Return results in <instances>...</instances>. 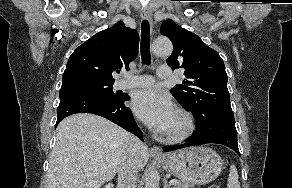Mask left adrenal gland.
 Returning <instances> with one entry per match:
<instances>
[{
	"instance_id": "1",
	"label": "left adrenal gland",
	"mask_w": 292,
	"mask_h": 188,
	"mask_svg": "<svg viewBox=\"0 0 292 188\" xmlns=\"http://www.w3.org/2000/svg\"><path fill=\"white\" fill-rule=\"evenodd\" d=\"M163 182H164V184H163V188H171V185L168 184V182H167L166 179H164Z\"/></svg>"
}]
</instances>
